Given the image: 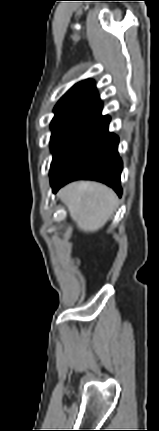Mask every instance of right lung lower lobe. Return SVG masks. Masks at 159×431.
Instances as JSON below:
<instances>
[{"mask_svg":"<svg viewBox=\"0 0 159 431\" xmlns=\"http://www.w3.org/2000/svg\"><path fill=\"white\" fill-rule=\"evenodd\" d=\"M109 116H100L73 133L55 152L50 168L53 192L77 179L97 180L121 196L119 138L108 131Z\"/></svg>","mask_w":159,"mask_h":431,"instance_id":"98d812e1","label":"right lung lower lobe"}]
</instances>
